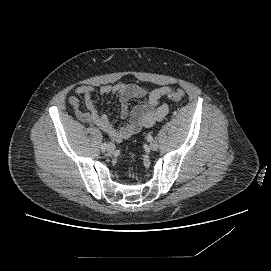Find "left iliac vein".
<instances>
[{"label":"left iliac vein","instance_id":"1","mask_svg":"<svg viewBox=\"0 0 271 271\" xmlns=\"http://www.w3.org/2000/svg\"><path fill=\"white\" fill-rule=\"evenodd\" d=\"M149 147H150L151 150L156 151L158 149V147H159V144H158V142L153 141V142L150 143Z\"/></svg>","mask_w":271,"mask_h":271}]
</instances>
